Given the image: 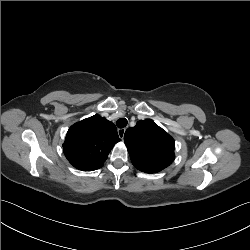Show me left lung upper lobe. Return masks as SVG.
<instances>
[{"mask_svg": "<svg viewBox=\"0 0 250 250\" xmlns=\"http://www.w3.org/2000/svg\"><path fill=\"white\" fill-rule=\"evenodd\" d=\"M124 141L132 164L140 171H161L175 159L174 139L150 119L128 128Z\"/></svg>", "mask_w": 250, "mask_h": 250, "instance_id": "5c2ea615", "label": "left lung upper lobe"}]
</instances>
